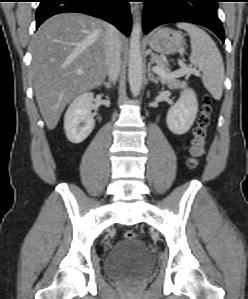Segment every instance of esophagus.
Instances as JSON below:
<instances>
[{"label": "esophagus", "mask_w": 248, "mask_h": 299, "mask_svg": "<svg viewBox=\"0 0 248 299\" xmlns=\"http://www.w3.org/2000/svg\"><path fill=\"white\" fill-rule=\"evenodd\" d=\"M137 8H138L137 4L132 2L131 3V13L133 16H135L137 14Z\"/></svg>", "instance_id": "34e87169"}]
</instances>
